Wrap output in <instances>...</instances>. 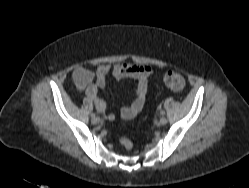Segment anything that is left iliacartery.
I'll return each instance as SVG.
<instances>
[{
    "mask_svg": "<svg viewBox=\"0 0 249 188\" xmlns=\"http://www.w3.org/2000/svg\"><path fill=\"white\" fill-rule=\"evenodd\" d=\"M160 114H161V115H165V111H161Z\"/></svg>",
    "mask_w": 249,
    "mask_h": 188,
    "instance_id": "44dca946",
    "label": "left iliac artery"
}]
</instances>
